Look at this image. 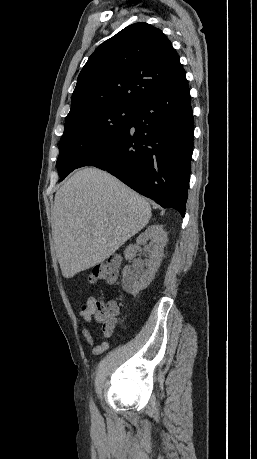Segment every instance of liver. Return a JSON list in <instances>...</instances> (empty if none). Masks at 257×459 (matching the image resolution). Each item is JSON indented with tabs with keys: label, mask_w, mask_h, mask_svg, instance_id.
I'll list each match as a JSON object with an SVG mask.
<instances>
[{
	"label": "liver",
	"mask_w": 257,
	"mask_h": 459,
	"mask_svg": "<svg viewBox=\"0 0 257 459\" xmlns=\"http://www.w3.org/2000/svg\"><path fill=\"white\" fill-rule=\"evenodd\" d=\"M145 198L111 174L78 170L56 193L52 236L62 275L71 278L103 262L151 219Z\"/></svg>",
	"instance_id": "1"
}]
</instances>
